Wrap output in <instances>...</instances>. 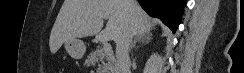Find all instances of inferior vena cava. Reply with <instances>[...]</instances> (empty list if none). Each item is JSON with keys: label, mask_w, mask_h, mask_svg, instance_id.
<instances>
[{"label": "inferior vena cava", "mask_w": 244, "mask_h": 73, "mask_svg": "<svg viewBox=\"0 0 244 73\" xmlns=\"http://www.w3.org/2000/svg\"><path fill=\"white\" fill-rule=\"evenodd\" d=\"M128 11L126 14L124 28L116 40V58L120 73H130L129 47L134 35L132 22L133 14L131 11L133 1L127 0Z\"/></svg>", "instance_id": "inferior-vena-cava-1"}]
</instances>
